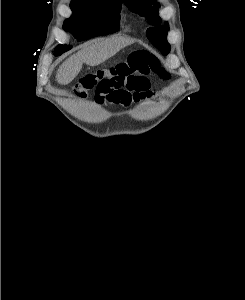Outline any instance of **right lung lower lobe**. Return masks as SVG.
I'll return each mask as SVG.
<instances>
[{
    "label": "right lung lower lobe",
    "mask_w": 245,
    "mask_h": 300,
    "mask_svg": "<svg viewBox=\"0 0 245 300\" xmlns=\"http://www.w3.org/2000/svg\"><path fill=\"white\" fill-rule=\"evenodd\" d=\"M79 26L82 27L86 32H88L89 34L87 35V39L98 36V34L100 33L99 30V23L95 22V21H90V20H86V21H82L79 23Z\"/></svg>",
    "instance_id": "1"
}]
</instances>
